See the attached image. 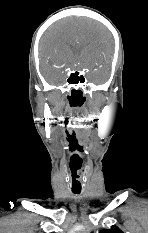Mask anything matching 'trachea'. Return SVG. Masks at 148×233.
Returning <instances> with one entry per match:
<instances>
[{
  "mask_svg": "<svg viewBox=\"0 0 148 233\" xmlns=\"http://www.w3.org/2000/svg\"><path fill=\"white\" fill-rule=\"evenodd\" d=\"M74 194H80V191H75V190H73L72 191Z\"/></svg>",
  "mask_w": 148,
  "mask_h": 233,
  "instance_id": "obj_1",
  "label": "trachea"
}]
</instances>
